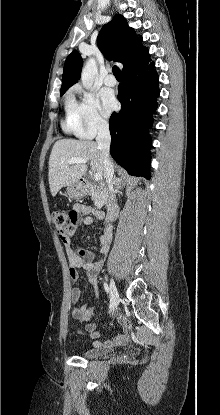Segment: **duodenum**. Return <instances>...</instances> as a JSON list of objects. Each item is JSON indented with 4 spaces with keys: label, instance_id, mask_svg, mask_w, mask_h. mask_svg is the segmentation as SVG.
<instances>
[{
    "label": "duodenum",
    "instance_id": "1",
    "mask_svg": "<svg viewBox=\"0 0 220 415\" xmlns=\"http://www.w3.org/2000/svg\"><path fill=\"white\" fill-rule=\"evenodd\" d=\"M82 186L85 190L89 191L90 189L94 191H100V192H107L108 186L102 184L101 186L94 185L91 186L87 182H81ZM120 207L117 202H115L113 199H109L108 205H107V224H111L113 220H115L119 214Z\"/></svg>",
    "mask_w": 220,
    "mask_h": 415
}]
</instances>
